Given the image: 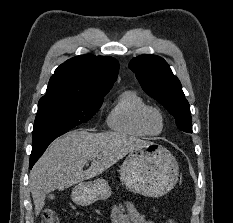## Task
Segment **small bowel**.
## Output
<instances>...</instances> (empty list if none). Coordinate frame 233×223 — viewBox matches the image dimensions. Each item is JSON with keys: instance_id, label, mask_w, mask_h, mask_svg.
<instances>
[{"instance_id": "c3829d8e", "label": "small bowel", "mask_w": 233, "mask_h": 223, "mask_svg": "<svg viewBox=\"0 0 233 223\" xmlns=\"http://www.w3.org/2000/svg\"><path fill=\"white\" fill-rule=\"evenodd\" d=\"M112 223H154L146 218L137 208L128 201L114 206L111 214Z\"/></svg>"}]
</instances>
